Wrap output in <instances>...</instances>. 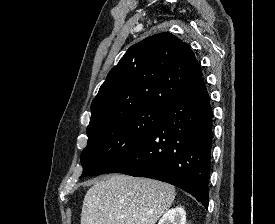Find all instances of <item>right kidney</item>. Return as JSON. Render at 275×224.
<instances>
[{"label":"right kidney","instance_id":"1","mask_svg":"<svg viewBox=\"0 0 275 224\" xmlns=\"http://www.w3.org/2000/svg\"><path fill=\"white\" fill-rule=\"evenodd\" d=\"M186 212L182 207H175L168 210L159 220L158 224H185Z\"/></svg>","mask_w":275,"mask_h":224}]
</instances>
